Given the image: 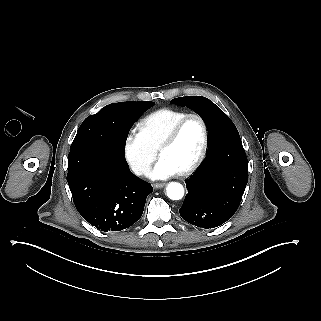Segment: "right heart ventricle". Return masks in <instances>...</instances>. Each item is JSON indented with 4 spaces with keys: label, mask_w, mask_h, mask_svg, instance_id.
<instances>
[{
    "label": "right heart ventricle",
    "mask_w": 321,
    "mask_h": 321,
    "mask_svg": "<svg viewBox=\"0 0 321 321\" xmlns=\"http://www.w3.org/2000/svg\"><path fill=\"white\" fill-rule=\"evenodd\" d=\"M188 114L181 109L160 108L146 115L139 127L151 144L158 143L178 120Z\"/></svg>",
    "instance_id": "right-heart-ventricle-1"
}]
</instances>
